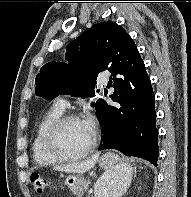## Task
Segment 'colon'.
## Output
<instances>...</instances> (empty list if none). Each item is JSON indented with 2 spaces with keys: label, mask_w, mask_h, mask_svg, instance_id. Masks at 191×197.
<instances>
[{
  "label": "colon",
  "mask_w": 191,
  "mask_h": 197,
  "mask_svg": "<svg viewBox=\"0 0 191 197\" xmlns=\"http://www.w3.org/2000/svg\"><path fill=\"white\" fill-rule=\"evenodd\" d=\"M30 179H31V182L33 184L34 191L36 193H42V192L45 191L48 182H47V179L44 176H42L38 173H33L31 175Z\"/></svg>",
  "instance_id": "colon-1"
}]
</instances>
